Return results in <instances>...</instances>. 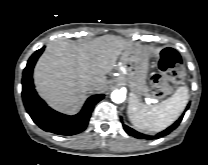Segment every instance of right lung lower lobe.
I'll list each match as a JSON object with an SVG mask.
<instances>
[{
    "instance_id": "obj_1",
    "label": "right lung lower lobe",
    "mask_w": 208,
    "mask_h": 165,
    "mask_svg": "<svg viewBox=\"0 0 208 165\" xmlns=\"http://www.w3.org/2000/svg\"><path fill=\"white\" fill-rule=\"evenodd\" d=\"M44 47L37 50L28 60L23 71L22 97L26 111L32 120L43 130L59 135H73L82 132L90 119L94 105L104 98L103 94L91 96L81 112L68 116L54 111L37 95L33 84V68Z\"/></svg>"
}]
</instances>
